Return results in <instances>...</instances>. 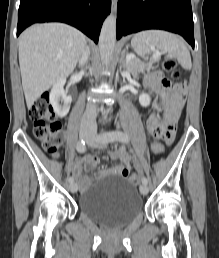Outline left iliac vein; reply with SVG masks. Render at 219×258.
Masks as SVG:
<instances>
[{
  "instance_id": "left-iliac-vein-1",
  "label": "left iliac vein",
  "mask_w": 219,
  "mask_h": 258,
  "mask_svg": "<svg viewBox=\"0 0 219 258\" xmlns=\"http://www.w3.org/2000/svg\"><path fill=\"white\" fill-rule=\"evenodd\" d=\"M87 144L91 147H97V143L95 142L94 138L93 137H89L87 139ZM139 190H140V193L142 195H146L148 193V186L146 184H141L140 187H139Z\"/></svg>"
}]
</instances>
